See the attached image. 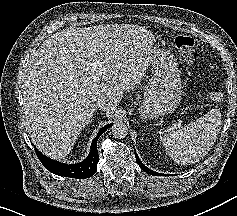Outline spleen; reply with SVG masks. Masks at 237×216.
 <instances>
[{
    "instance_id": "3e777b00",
    "label": "spleen",
    "mask_w": 237,
    "mask_h": 216,
    "mask_svg": "<svg viewBox=\"0 0 237 216\" xmlns=\"http://www.w3.org/2000/svg\"><path fill=\"white\" fill-rule=\"evenodd\" d=\"M218 126L204 116L177 131H168L160 139L167 154L174 160L197 161L217 139Z\"/></svg>"
}]
</instances>
